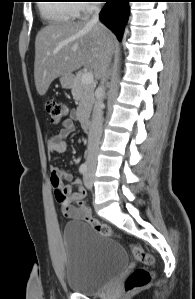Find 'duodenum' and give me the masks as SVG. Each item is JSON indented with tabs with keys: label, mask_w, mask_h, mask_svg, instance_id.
Segmentation results:
<instances>
[{
	"label": "duodenum",
	"mask_w": 195,
	"mask_h": 299,
	"mask_svg": "<svg viewBox=\"0 0 195 299\" xmlns=\"http://www.w3.org/2000/svg\"><path fill=\"white\" fill-rule=\"evenodd\" d=\"M78 117H79V120L84 128H88L90 126L91 120H90L89 115H87L85 113H80Z\"/></svg>",
	"instance_id": "duodenum-1"
}]
</instances>
